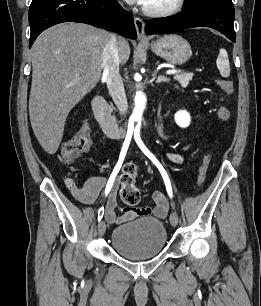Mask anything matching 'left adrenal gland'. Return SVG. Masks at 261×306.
<instances>
[{"mask_svg": "<svg viewBox=\"0 0 261 306\" xmlns=\"http://www.w3.org/2000/svg\"><path fill=\"white\" fill-rule=\"evenodd\" d=\"M156 72H154L153 73V80H155L156 79ZM170 81V79L169 78H167V77H165V76H159L158 78H157V80H156V83H162V82H169Z\"/></svg>", "mask_w": 261, "mask_h": 306, "instance_id": "1", "label": "left adrenal gland"}]
</instances>
